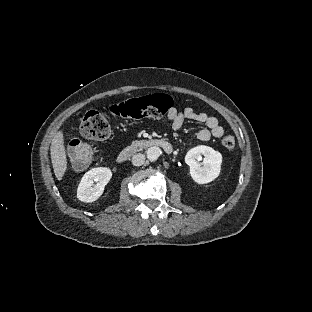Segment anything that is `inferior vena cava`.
<instances>
[{"instance_id": "1", "label": "inferior vena cava", "mask_w": 312, "mask_h": 312, "mask_svg": "<svg viewBox=\"0 0 312 312\" xmlns=\"http://www.w3.org/2000/svg\"><path fill=\"white\" fill-rule=\"evenodd\" d=\"M144 162H145V155H143L141 153L133 155L132 164L134 166H141L144 164Z\"/></svg>"}]
</instances>
